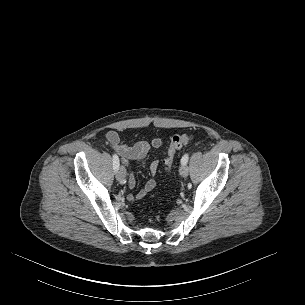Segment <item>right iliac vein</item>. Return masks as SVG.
Masks as SVG:
<instances>
[{
	"mask_svg": "<svg viewBox=\"0 0 305 305\" xmlns=\"http://www.w3.org/2000/svg\"><path fill=\"white\" fill-rule=\"evenodd\" d=\"M126 177V170L124 168V166H121L117 173H116V179L120 182L123 183Z\"/></svg>",
	"mask_w": 305,
	"mask_h": 305,
	"instance_id": "right-iliac-vein-1",
	"label": "right iliac vein"
}]
</instances>
